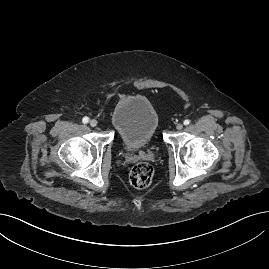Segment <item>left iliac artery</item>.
<instances>
[{"mask_svg": "<svg viewBox=\"0 0 269 269\" xmlns=\"http://www.w3.org/2000/svg\"><path fill=\"white\" fill-rule=\"evenodd\" d=\"M184 125H189V123H190V120H188V119H186V120H184Z\"/></svg>", "mask_w": 269, "mask_h": 269, "instance_id": "44dca946", "label": "left iliac artery"}]
</instances>
